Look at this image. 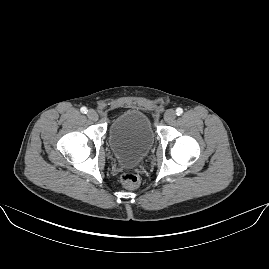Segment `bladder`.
Wrapping results in <instances>:
<instances>
[{
  "instance_id": "31cf9c89",
  "label": "bladder",
  "mask_w": 269,
  "mask_h": 269,
  "mask_svg": "<svg viewBox=\"0 0 269 269\" xmlns=\"http://www.w3.org/2000/svg\"><path fill=\"white\" fill-rule=\"evenodd\" d=\"M107 140L119 164H136L153 146V124L139 110H124L113 119Z\"/></svg>"
}]
</instances>
